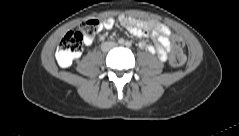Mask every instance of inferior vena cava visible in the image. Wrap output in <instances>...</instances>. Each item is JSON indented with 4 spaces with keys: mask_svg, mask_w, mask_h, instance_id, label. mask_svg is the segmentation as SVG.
I'll use <instances>...</instances> for the list:
<instances>
[{
    "mask_svg": "<svg viewBox=\"0 0 239 136\" xmlns=\"http://www.w3.org/2000/svg\"><path fill=\"white\" fill-rule=\"evenodd\" d=\"M115 46V43H111V47H114Z\"/></svg>",
    "mask_w": 239,
    "mask_h": 136,
    "instance_id": "inferior-vena-cava-1",
    "label": "inferior vena cava"
}]
</instances>
